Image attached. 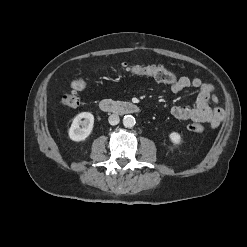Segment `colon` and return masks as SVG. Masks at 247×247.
<instances>
[{
	"mask_svg": "<svg viewBox=\"0 0 247 247\" xmlns=\"http://www.w3.org/2000/svg\"><path fill=\"white\" fill-rule=\"evenodd\" d=\"M122 70L125 73L138 76L152 77L155 80L167 84H174L177 82V76L171 71L159 67V66H139V65H127L122 66ZM87 83L83 79H75L71 83L72 91L65 92L62 94L61 101L65 106L75 108L80 103L79 95L77 91L84 90ZM188 129L195 133H201L204 130L203 125L200 123H192L188 126Z\"/></svg>",
	"mask_w": 247,
	"mask_h": 247,
	"instance_id": "5ec220e1",
	"label": "colon"
}]
</instances>
